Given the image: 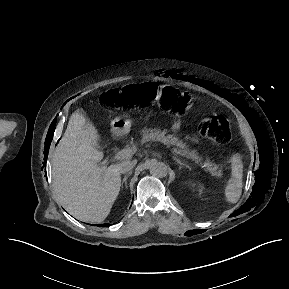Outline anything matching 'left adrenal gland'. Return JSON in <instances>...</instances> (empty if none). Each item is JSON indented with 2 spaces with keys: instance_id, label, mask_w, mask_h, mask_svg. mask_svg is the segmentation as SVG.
<instances>
[{
  "instance_id": "1",
  "label": "left adrenal gland",
  "mask_w": 289,
  "mask_h": 289,
  "mask_svg": "<svg viewBox=\"0 0 289 289\" xmlns=\"http://www.w3.org/2000/svg\"><path fill=\"white\" fill-rule=\"evenodd\" d=\"M173 160L180 165L179 169H182V168H189L190 169L189 165H187L185 161H181L176 156H173Z\"/></svg>"
}]
</instances>
